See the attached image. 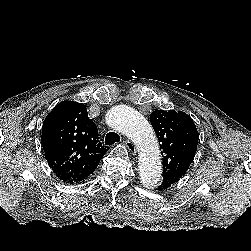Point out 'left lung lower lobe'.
Listing matches in <instances>:
<instances>
[{"label":"left lung lower lobe","instance_id":"obj_1","mask_svg":"<svg viewBox=\"0 0 251 251\" xmlns=\"http://www.w3.org/2000/svg\"><path fill=\"white\" fill-rule=\"evenodd\" d=\"M163 182V181H162ZM167 188H169V187H167V184L165 183L164 185H162V183H161V185L159 186V189L160 190H163V189H167Z\"/></svg>","mask_w":251,"mask_h":251}]
</instances>
